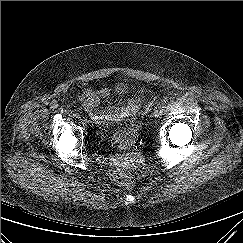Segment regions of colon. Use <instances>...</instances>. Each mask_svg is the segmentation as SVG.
I'll return each instance as SVG.
<instances>
[{"label":"colon","mask_w":243,"mask_h":243,"mask_svg":"<svg viewBox=\"0 0 243 243\" xmlns=\"http://www.w3.org/2000/svg\"><path fill=\"white\" fill-rule=\"evenodd\" d=\"M113 179L119 186H127L133 180L132 174L125 169H118L114 172Z\"/></svg>","instance_id":"1"}]
</instances>
